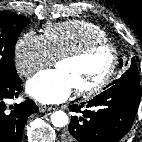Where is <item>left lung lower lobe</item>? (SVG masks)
Returning <instances> with one entry per match:
<instances>
[{"instance_id":"1","label":"left lung lower lobe","mask_w":142,"mask_h":142,"mask_svg":"<svg viewBox=\"0 0 142 142\" xmlns=\"http://www.w3.org/2000/svg\"><path fill=\"white\" fill-rule=\"evenodd\" d=\"M141 97L139 81L129 80L112 85L81 105L70 110L82 113L73 116L65 142H117L130 130ZM86 110L82 111L81 108Z\"/></svg>"}]
</instances>
